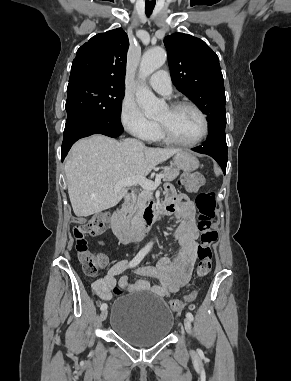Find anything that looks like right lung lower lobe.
Instances as JSON below:
<instances>
[{
	"instance_id": "right-lung-lower-lobe-1",
	"label": "right lung lower lobe",
	"mask_w": 291,
	"mask_h": 381,
	"mask_svg": "<svg viewBox=\"0 0 291 381\" xmlns=\"http://www.w3.org/2000/svg\"><path fill=\"white\" fill-rule=\"evenodd\" d=\"M123 127L120 121H110L96 124L89 128H81V124L75 121L65 125L63 143L61 147V160L66 157L71 146L83 137L90 136L92 134H103L110 137H117L122 134Z\"/></svg>"
}]
</instances>
